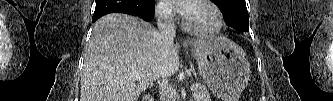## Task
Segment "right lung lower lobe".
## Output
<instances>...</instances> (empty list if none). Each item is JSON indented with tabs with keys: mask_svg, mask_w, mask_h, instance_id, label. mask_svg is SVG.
Listing matches in <instances>:
<instances>
[{
	"mask_svg": "<svg viewBox=\"0 0 333 101\" xmlns=\"http://www.w3.org/2000/svg\"><path fill=\"white\" fill-rule=\"evenodd\" d=\"M154 1L152 0H96L92 22L109 13H126L151 21L154 18Z\"/></svg>",
	"mask_w": 333,
	"mask_h": 101,
	"instance_id": "obj_1",
	"label": "right lung lower lobe"
}]
</instances>
